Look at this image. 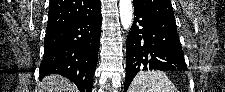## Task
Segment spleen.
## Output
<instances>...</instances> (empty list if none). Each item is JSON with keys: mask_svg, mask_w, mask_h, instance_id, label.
<instances>
[{"mask_svg": "<svg viewBox=\"0 0 225 92\" xmlns=\"http://www.w3.org/2000/svg\"><path fill=\"white\" fill-rule=\"evenodd\" d=\"M129 92H177V89L164 72L141 71L133 79Z\"/></svg>", "mask_w": 225, "mask_h": 92, "instance_id": "spleen-1", "label": "spleen"}]
</instances>
